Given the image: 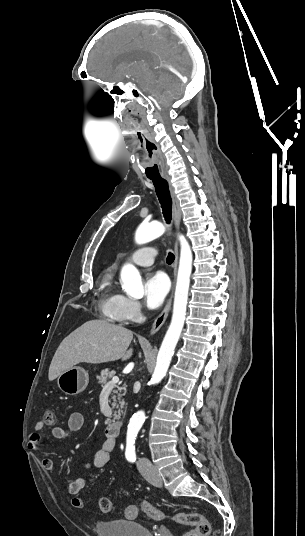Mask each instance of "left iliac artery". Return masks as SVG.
<instances>
[{"instance_id":"44dca946","label":"left iliac artery","mask_w":305,"mask_h":536,"mask_svg":"<svg viewBox=\"0 0 305 536\" xmlns=\"http://www.w3.org/2000/svg\"><path fill=\"white\" fill-rule=\"evenodd\" d=\"M127 459H128L129 461H131V462H134V461L136 460V457L131 456V457H128Z\"/></svg>"}]
</instances>
